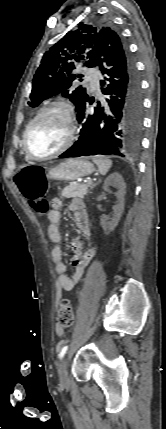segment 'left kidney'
<instances>
[{
	"mask_svg": "<svg viewBox=\"0 0 166 429\" xmlns=\"http://www.w3.org/2000/svg\"><path fill=\"white\" fill-rule=\"evenodd\" d=\"M114 186L118 189L116 193L117 197V204L113 207L114 213L113 217L109 220L108 216H101V225L105 232L110 233L112 232L116 226L118 225V222L123 214L124 211V196H125V182L121 174L118 172L112 173L109 175L105 182L103 189L105 191H109V187Z\"/></svg>",
	"mask_w": 166,
	"mask_h": 429,
	"instance_id": "1",
	"label": "left kidney"
}]
</instances>
